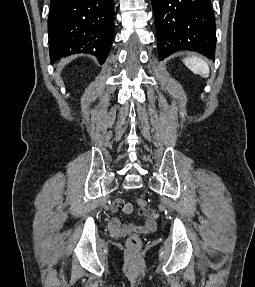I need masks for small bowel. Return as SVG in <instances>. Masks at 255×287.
I'll list each match as a JSON object with an SVG mask.
<instances>
[{"label":"small bowel","instance_id":"small-bowel-1","mask_svg":"<svg viewBox=\"0 0 255 287\" xmlns=\"http://www.w3.org/2000/svg\"><path fill=\"white\" fill-rule=\"evenodd\" d=\"M111 210L114 213L130 214L133 211V206L124 199H116L111 205ZM140 214L145 217L142 225L125 223L119 217H114L110 223L111 232L117 235L153 232L156 229L159 216L156 210L144 209L140 211Z\"/></svg>","mask_w":255,"mask_h":287}]
</instances>
